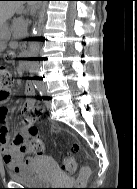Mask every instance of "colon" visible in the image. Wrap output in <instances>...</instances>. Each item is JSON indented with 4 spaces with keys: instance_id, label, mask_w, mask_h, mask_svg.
Here are the masks:
<instances>
[{
    "instance_id": "1",
    "label": "colon",
    "mask_w": 137,
    "mask_h": 189,
    "mask_svg": "<svg viewBox=\"0 0 137 189\" xmlns=\"http://www.w3.org/2000/svg\"><path fill=\"white\" fill-rule=\"evenodd\" d=\"M13 81V73L11 69L5 65H0V99L7 98L8 96V87ZM26 113L29 118H38L43 113V107L40 104H32L26 107ZM29 136L24 140L25 146L30 150L35 152L38 155L43 154L44 144L37 135V129L34 125L28 128ZM74 151H79V146L75 145ZM76 160L73 157H66L63 160L62 169L67 174H73L76 171ZM90 175L89 170H85L82 174V178L86 179Z\"/></svg>"
}]
</instances>
